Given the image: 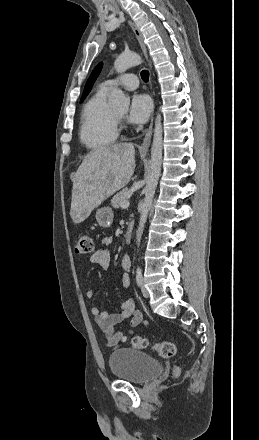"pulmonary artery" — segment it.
Returning <instances> with one entry per match:
<instances>
[{"instance_id":"e3ab8cb5","label":"pulmonary artery","mask_w":259,"mask_h":440,"mask_svg":"<svg viewBox=\"0 0 259 440\" xmlns=\"http://www.w3.org/2000/svg\"><path fill=\"white\" fill-rule=\"evenodd\" d=\"M139 80L135 74H125L118 78L108 79L101 83L100 89L108 92L116 86H122L127 90H134L138 87Z\"/></svg>"}]
</instances>
